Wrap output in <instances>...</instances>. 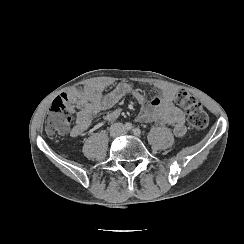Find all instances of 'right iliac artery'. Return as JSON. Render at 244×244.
<instances>
[{"label":"right iliac artery","instance_id":"right-iliac-artery-1","mask_svg":"<svg viewBox=\"0 0 244 244\" xmlns=\"http://www.w3.org/2000/svg\"><path fill=\"white\" fill-rule=\"evenodd\" d=\"M124 128L126 130H131L133 128L132 124L130 122H127L125 125H124Z\"/></svg>","mask_w":244,"mask_h":244}]
</instances>
